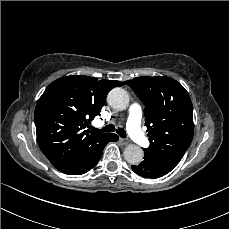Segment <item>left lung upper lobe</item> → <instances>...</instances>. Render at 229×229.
<instances>
[{"mask_svg":"<svg viewBox=\"0 0 229 229\" xmlns=\"http://www.w3.org/2000/svg\"><path fill=\"white\" fill-rule=\"evenodd\" d=\"M144 103L150 146L144 160L165 174L179 163L193 138V107L186 89L169 77L142 76L124 82Z\"/></svg>","mask_w":229,"mask_h":229,"instance_id":"left-lung-upper-lobe-1","label":"left lung upper lobe"}]
</instances>
